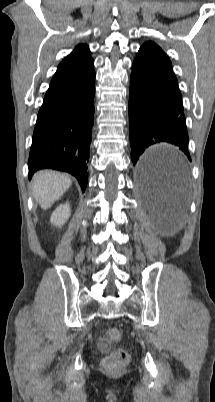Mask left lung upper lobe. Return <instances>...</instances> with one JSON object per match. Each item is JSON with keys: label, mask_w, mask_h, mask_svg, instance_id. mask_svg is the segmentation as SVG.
I'll list each match as a JSON object with an SVG mask.
<instances>
[{"label": "left lung upper lobe", "mask_w": 215, "mask_h": 402, "mask_svg": "<svg viewBox=\"0 0 215 402\" xmlns=\"http://www.w3.org/2000/svg\"><path fill=\"white\" fill-rule=\"evenodd\" d=\"M137 57L172 70L170 59L153 41L145 42L140 47Z\"/></svg>", "instance_id": "obj_1"}]
</instances>
